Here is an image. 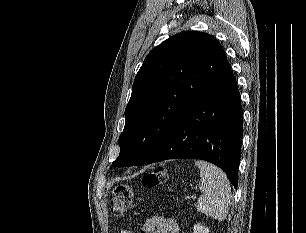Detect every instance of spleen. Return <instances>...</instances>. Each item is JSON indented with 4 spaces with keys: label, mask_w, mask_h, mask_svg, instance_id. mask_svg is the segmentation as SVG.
Returning <instances> with one entry per match:
<instances>
[{
    "label": "spleen",
    "mask_w": 306,
    "mask_h": 233,
    "mask_svg": "<svg viewBox=\"0 0 306 233\" xmlns=\"http://www.w3.org/2000/svg\"><path fill=\"white\" fill-rule=\"evenodd\" d=\"M200 170L199 189L203 193L197 201V209L218 221L226 218L232 198L226 174L217 166L198 160Z\"/></svg>",
    "instance_id": "1"
}]
</instances>
